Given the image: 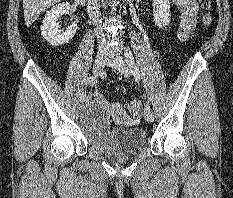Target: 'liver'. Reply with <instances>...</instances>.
Listing matches in <instances>:
<instances>
[{
  "mask_svg": "<svg viewBox=\"0 0 233 198\" xmlns=\"http://www.w3.org/2000/svg\"><path fill=\"white\" fill-rule=\"evenodd\" d=\"M61 1L62 0H23V12L26 26L30 27L41 13Z\"/></svg>",
  "mask_w": 233,
  "mask_h": 198,
  "instance_id": "1",
  "label": "liver"
}]
</instances>
